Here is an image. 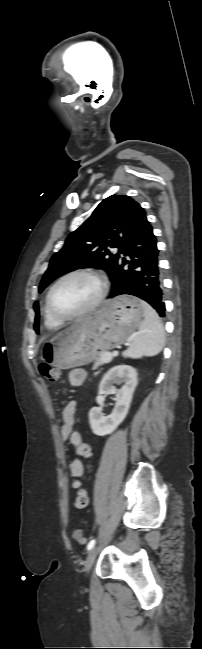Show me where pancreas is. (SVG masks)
<instances>
[{"label":"pancreas","mask_w":202,"mask_h":649,"mask_svg":"<svg viewBox=\"0 0 202 649\" xmlns=\"http://www.w3.org/2000/svg\"><path fill=\"white\" fill-rule=\"evenodd\" d=\"M102 353H103V352H100V353H99V356L95 359V362H94L93 367H92L93 370L97 369L99 366H101V365L104 364V362H103L102 359H101V354H102Z\"/></svg>","instance_id":"obj_1"}]
</instances>
